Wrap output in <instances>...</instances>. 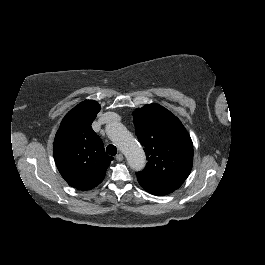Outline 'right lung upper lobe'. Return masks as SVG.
Masks as SVG:
<instances>
[{"label": "right lung upper lobe", "instance_id": "right-lung-upper-lobe-1", "mask_svg": "<svg viewBox=\"0 0 265 265\" xmlns=\"http://www.w3.org/2000/svg\"><path fill=\"white\" fill-rule=\"evenodd\" d=\"M99 111L100 105L94 100L79 103L63 118L54 139V159L60 174L80 190L100 184L113 160L91 128Z\"/></svg>", "mask_w": 265, "mask_h": 265}]
</instances>
